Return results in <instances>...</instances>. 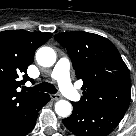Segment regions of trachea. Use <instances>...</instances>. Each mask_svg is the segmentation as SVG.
<instances>
[{"label":"trachea","instance_id":"3493384b","mask_svg":"<svg viewBox=\"0 0 136 136\" xmlns=\"http://www.w3.org/2000/svg\"><path fill=\"white\" fill-rule=\"evenodd\" d=\"M31 90L48 92L51 94H55L57 92V89L55 88V86L47 82H43L39 85H36L33 88H31Z\"/></svg>","mask_w":136,"mask_h":136}]
</instances>
